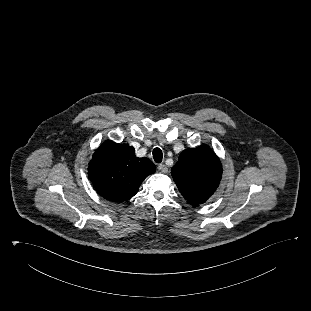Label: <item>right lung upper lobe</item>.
<instances>
[{"mask_svg":"<svg viewBox=\"0 0 311 311\" xmlns=\"http://www.w3.org/2000/svg\"><path fill=\"white\" fill-rule=\"evenodd\" d=\"M155 171V164L148 158H137L132 146L105 141L89 163L88 176L100 196L123 202L133 197L143 180Z\"/></svg>","mask_w":311,"mask_h":311,"instance_id":"cb5924a9","label":"right lung upper lobe"}]
</instances>
